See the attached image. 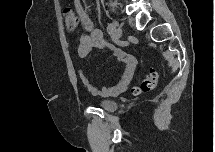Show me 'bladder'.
I'll return each mask as SVG.
<instances>
[{
	"instance_id": "bladder-1",
	"label": "bladder",
	"mask_w": 215,
	"mask_h": 152,
	"mask_svg": "<svg viewBox=\"0 0 215 152\" xmlns=\"http://www.w3.org/2000/svg\"><path fill=\"white\" fill-rule=\"evenodd\" d=\"M98 106L104 110L105 112H108V113H113L114 111H116L118 105L116 102L114 101H110V100H103V101H100L98 103Z\"/></svg>"
}]
</instances>
